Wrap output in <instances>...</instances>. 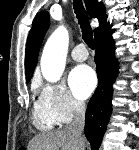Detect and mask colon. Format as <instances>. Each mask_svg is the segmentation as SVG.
I'll return each mask as SVG.
<instances>
[{
    "label": "colon",
    "instance_id": "5ec220e1",
    "mask_svg": "<svg viewBox=\"0 0 139 150\" xmlns=\"http://www.w3.org/2000/svg\"><path fill=\"white\" fill-rule=\"evenodd\" d=\"M19 150H25L24 148H19Z\"/></svg>",
    "mask_w": 139,
    "mask_h": 150
}]
</instances>
